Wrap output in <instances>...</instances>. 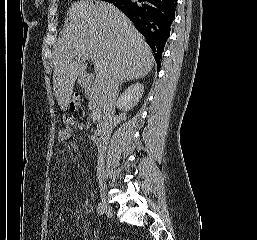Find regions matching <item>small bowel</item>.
I'll use <instances>...</instances> for the list:
<instances>
[{"label":"small bowel","mask_w":257,"mask_h":240,"mask_svg":"<svg viewBox=\"0 0 257 240\" xmlns=\"http://www.w3.org/2000/svg\"><path fill=\"white\" fill-rule=\"evenodd\" d=\"M70 137H71V129L69 127H65L58 132L57 141L58 143H63L69 140Z\"/></svg>","instance_id":"1"}]
</instances>
